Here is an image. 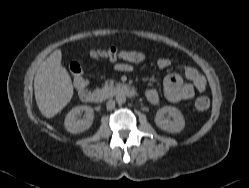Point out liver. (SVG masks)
<instances>
[{
  "instance_id": "6515ba94",
  "label": "liver",
  "mask_w": 249,
  "mask_h": 188,
  "mask_svg": "<svg viewBox=\"0 0 249 188\" xmlns=\"http://www.w3.org/2000/svg\"><path fill=\"white\" fill-rule=\"evenodd\" d=\"M62 52L56 49L39 66L34 78L37 106L46 118L59 113L73 97L71 77L61 65Z\"/></svg>"
}]
</instances>
